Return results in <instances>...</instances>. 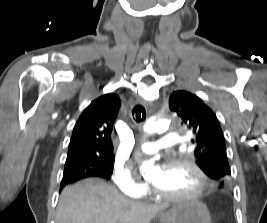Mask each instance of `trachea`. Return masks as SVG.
Segmentation results:
<instances>
[{
	"mask_svg": "<svg viewBox=\"0 0 267 223\" xmlns=\"http://www.w3.org/2000/svg\"><path fill=\"white\" fill-rule=\"evenodd\" d=\"M132 116L137 123H140L146 118V110L141 105H136L132 110Z\"/></svg>",
	"mask_w": 267,
	"mask_h": 223,
	"instance_id": "1",
	"label": "trachea"
}]
</instances>
